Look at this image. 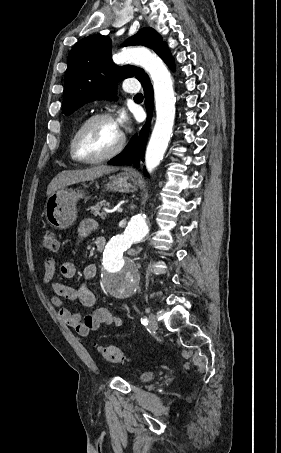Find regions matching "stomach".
Instances as JSON below:
<instances>
[{
    "label": "stomach",
    "mask_w": 281,
    "mask_h": 453,
    "mask_svg": "<svg viewBox=\"0 0 281 453\" xmlns=\"http://www.w3.org/2000/svg\"><path fill=\"white\" fill-rule=\"evenodd\" d=\"M134 176L135 174L132 170H124V172H119V174H113V176H110L111 182H107L105 188L106 190H119V192L136 190V184H139V180L134 178ZM80 198H85V192L78 190V188L54 190L48 196L44 210L50 227L60 229V231L71 227V224L77 218L76 204Z\"/></svg>",
    "instance_id": "stomach-1"
}]
</instances>
